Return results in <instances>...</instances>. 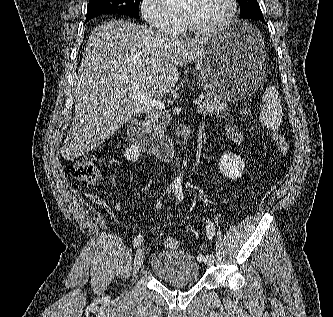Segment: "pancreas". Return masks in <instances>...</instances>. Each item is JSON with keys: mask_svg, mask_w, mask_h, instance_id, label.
<instances>
[{"mask_svg": "<svg viewBox=\"0 0 333 317\" xmlns=\"http://www.w3.org/2000/svg\"><path fill=\"white\" fill-rule=\"evenodd\" d=\"M229 110L226 103H221L220 100L207 94L204 102L198 106V112L204 115H213L227 112ZM170 115L166 111H152L148 116V124L155 132L164 134L166 127L170 123Z\"/></svg>", "mask_w": 333, "mask_h": 317, "instance_id": "pancreas-1", "label": "pancreas"}]
</instances>
